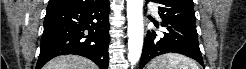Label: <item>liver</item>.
<instances>
[{"label": "liver", "instance_id": "1", "mask_svg": "<svg viewBox=\"0 0 246 69\" xmlns=\"http://www.w3.org/2000/svg\"><path fill=\"white\" fill-rule=\"evenodd\" d=\"M43 69H98L90 60L77 56H59L49 61Z\"/></svg>", "mask_w": 246, "mask_h": 69}]
</instances>
